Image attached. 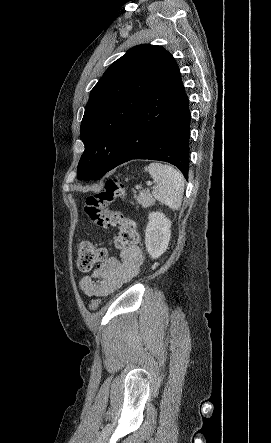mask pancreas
Segmentation results:
<instances>
[{"instance_id":"1","label":"pancreas","mask_w":271,"mask_h":443,"mask_svg":"<svg viewBox=\"0 0 271 443\" xmlns=\"http://www.w3.org/2000/svg\"><path fill=\"white\" fill-rule=\"evenodd\" d=\"M137 200V204H141L143 208H148V206H153L155 204V200L151 194H149V190H145V192H139V196H135Z\"/></svg>"}]
</instances>
